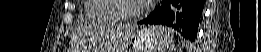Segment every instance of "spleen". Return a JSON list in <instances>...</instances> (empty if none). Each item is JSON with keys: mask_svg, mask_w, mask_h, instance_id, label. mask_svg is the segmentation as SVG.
<instances>
[{"mask_svg": "<svg viewBox=\"0 0 261 52\" xmlns=\"http://www.w3.org/2000/svg\"><path fill=\"white\" fill-rule=\"evenodd\" d=\"M156 29L159 37L158 50L159 52H169L172 49V36L170 32H165L163 27H151Z\"/></svg>", "mask_w": 261, "mask_h": 52, "instance_id": "3e777b00", "label": "spleen"}]
</instances>
